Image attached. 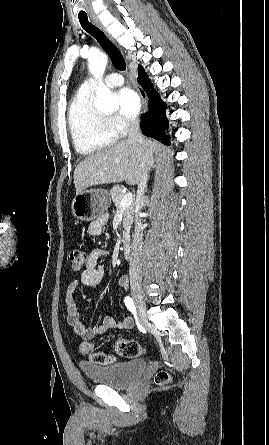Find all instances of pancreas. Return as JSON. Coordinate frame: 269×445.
Segmentation results:
<instances>
[{"mask_svg": "<svg viewBox=\"0 0 269 445\" xmlns=\"http://www.w3.org/2000/svg\"><path fill=\"white\" fill-rule=\"evenodd\" d=\"M123 186L116 185L110 190L111 198L116 206L119 208L120 202L124 197ZM133 215H134V203H132L128 208L124 210V219H123V242L128 243L130 240V229L133 223Z\"/></svg>", "mask_w": 269, "mask_h": 445, "instance_id": "1", "label": "pancreas"}]
</instances>
